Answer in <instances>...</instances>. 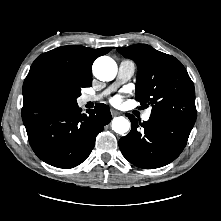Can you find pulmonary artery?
Here are the masks:
<instances>
[{
  "mask_svg": "<svg viewBox=\"0 0 221 221\" xmlns=\"http://www.w3.org/2000/svg\"><path fill=\"white\" fill-rule=\"evenodd\" d=\"M134 73H135V64L132 61L130 60L120 61L116 81L109 88H107L106 90H104L99 94L84 95L81 99L82 103L86 104L89 102L99 101L104 96L108 95L111 91H113L115 88H117L119 85L131 79ZM150 115H151V110H147L142 116L143 120L144 121L149 120Z\"/></svg>",
  "mask_w": 221,
  "mask_h": 221,
  "instance_id": "e3ab8cb5",
  "label": "pulmonary artery"
}]
</instances>
